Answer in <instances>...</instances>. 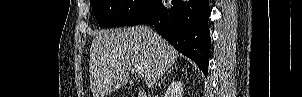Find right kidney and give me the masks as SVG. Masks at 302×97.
I'll list each match as a JSON object with an SVG mask.
<instances>
[{
    "mask_svg": "<svg viewBox=\"0 0 302 97\" xmlns=\"http://www.w3.org/2000/svg\"><path fill=\"white\" fill-rule=\"evenodd\" d=\"M182 91L183 84L181 81H173L167 89L166 96L181 97Z\"/></svg>",
    "mask_w": 302,
    "mask_h": 97,
    "instance_id": "obj_1",
    "label": "right kidney"
}]
</instances>
